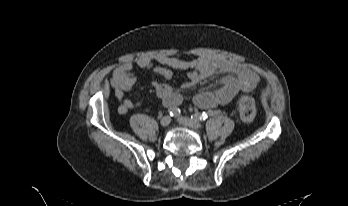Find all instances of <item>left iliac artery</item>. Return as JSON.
Instances as JSON below:
<instances>
[{
  "mask_svg": "<svg viewBox=\"0 0 348 206\" xmlns=\"http://www.w3.org/2000/svg\"><path fill=\"white\" fill-rule=\"evenodd\" d=\"M213 112H196L191 116V119L195 121H205L209 116H212ZM220 114H224V109H219V112H215V117H220Z\"/></svg>",
  "mask_w": 348,
  "mask_h": 206,
  "instance_id": "44dca946",
  "label": "left iliac artery"
}]
</instances>
